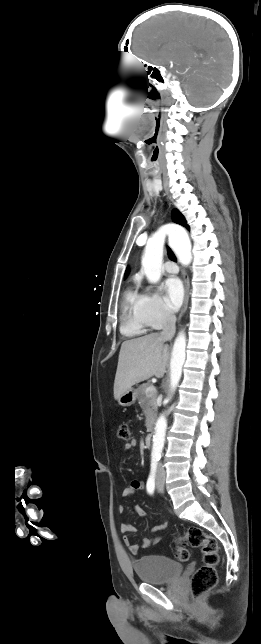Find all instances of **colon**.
I'll return each mask as SVG.
<instances>
[{
  "instance_id": "5ec220e1",
  "label": "colon",
  "mask_w": 261,
  "mask_h": 644,
  "mask_svg": "<svg viewBox=\"0 0 261 644\" xmlns=\"http://www.w3.org/2000/svg\"><path fill=\"white\" fill-rule=\"evenodd\" d=\"M118 436L122 440H129L131 432L127 423H121ZM175 554L178 560L187 561L190 552L187 545L201 547L203 564L195 571L191 578V594L194 599L201 598L207 591L214 588L218 581L216 566L219 561V546L216 538L207 535L198 527H191L187 532L178 537Z\"/></svg>"
}]
</instances>
